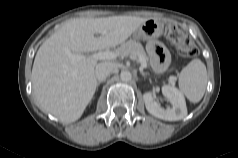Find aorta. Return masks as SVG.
<instances>
[{"mask_svg": "<svg viewBox=\"0 0 238 158\" xmlns=\"http://www.w3.org/2000/svg\"><path fill=\"white\" fill-rule=\"evenodd\" d=\"M120 78L123 82H129L132 79V75L129 71H122Z\"/></svg>", "mask_w": 238, "mask_h": 158, "instance_id": "obj_1", "label": "aorta"}]
</instances>
